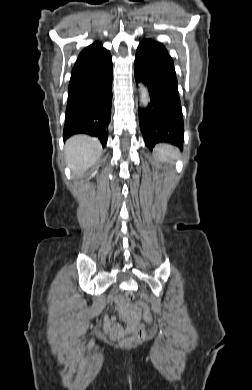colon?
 I'll return each mask as SVG.
<instances>
[{
	"mask_svg": "<svg viewBox=\"0 0 252 390\" xmlns=\"http://www.w3.org/2000/svg\"><path fill=\"white\" fill-rule=\"evenodd\" d=\"M125 298L128 302L134 299V295L131 292H127ZM146 337V332L142 324L137 326L135 332L124 342L125 345H136L142 342Z\"/></svg>",
	"mask_w": 252,
	"mask_h": 390,
	"instance_id": "5ec220e1",
	"label": "colon"
}]
</instances>
